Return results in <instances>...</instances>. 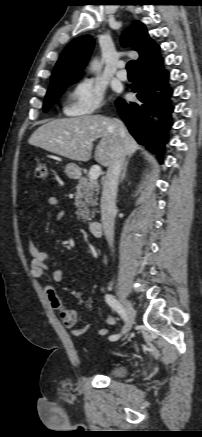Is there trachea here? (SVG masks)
<instances>
[{
	"instance_id": "trachea-1",
	"label": "trachea",
	"mask_w": 202,
	"mask_h": 437,
	"mask_svg": "<svg viewBox=\"0 0 202 437\" xmlns=\"http://www.w3.org/2000/svg\"><path fill=\"white\" fill-rule=\"evenodd\" d=\"M127 71H135L134 63L130 60L126 65Z\"/></svg>"
}]
</instances>
